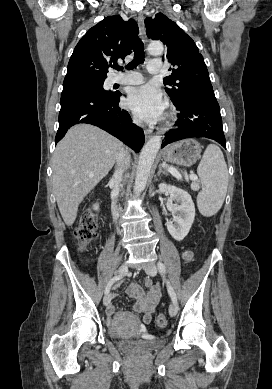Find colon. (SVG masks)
<instances>
[{
	"label": "colon",
	"instance_id": "obj_1",
	"mask_svg": "<svg viewBox=\"0 0 272 389\" xmlns=\"http://www.w3.org/2000/svg\"><path fill=\"white\" fill-rule=\"evenodd\" d=\"M97 220L94 212L88 209L82 214L79 219L78 226L74 232L75 239L81 250L89 247L96 238ZM156 324L160 328L167 326V319L163 314H159L156 318Z\"/></svg>",
	"mask_w": 272,
	"mask_h": 389
}]
</instances>
